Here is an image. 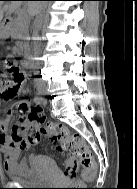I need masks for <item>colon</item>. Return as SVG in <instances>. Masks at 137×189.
<instances>
[{"mask_svg": "<svg viewBox=\"0 0 137 189\" xmlns=\"http://www.w3.org/2000/svg\"><path fill=\"white\" fill-rule=\"evenodd\" d=\"M24 79L23 71L14 63H8L5 70L0 69V97L4 100L12 99L19 90ZM25 118L28 126L16 125L13 128V137L26 144L36 145L44 135L50 139L59 152H66L64 162V175L69 178L77 176L78 167L84 168L83 177L93 179L97 172L96 163L92 152L78 134H70L68 129L61 124L46 123L41 106L24 107Z\"/></svg>", "mask_w": 137, "mask_h": 189, "instance_id": "5ec220e1", "label": "colon"}]
</instances>
